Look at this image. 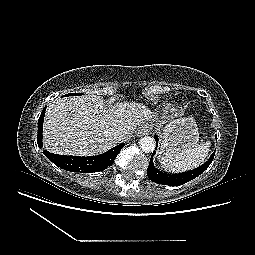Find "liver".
I'll return each instance as SVG.
<instances>
[{"label": "liver", "instance_id": "liver-1", "mask_svg": "<svg viewBox=\"0 0 255 255\" xmlns=\"http://www.w3.org/2000/svg\"><path fill=\"white\" fill-rule=\"evenodd\" d=\"M153 113L136 102H107L97 95L58 99L46 110L43 141L56 154L93 156L115 146L118 130L129 138Z\"/></svg>", "mask_w": 255, "mask_h": 255}]
</instances>
